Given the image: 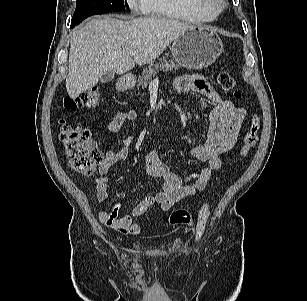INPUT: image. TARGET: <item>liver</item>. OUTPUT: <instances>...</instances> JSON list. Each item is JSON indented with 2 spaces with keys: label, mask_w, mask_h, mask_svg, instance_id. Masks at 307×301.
I'll use <instances>...</instances> for the list:
<instances>
[{
  "label": "liver",
  "mask_w": 307,
  "mask_h": 301,
  "mask_svg": "<svg viewBox=\"0 0 307 301\" xmlns=\"http://www.w3.org/2000/svg\"><path fill=\"white\" fill-rule=\"evenodd\" d=\"M193 27L161 16L123 21L91 19L71 33L66 89L71 98L94 87L107 72L124 74L153 61L175 38ZM131 51H137L134 58Z\"/></svg>",
  "instance_id": "1"
}]
</instances>
